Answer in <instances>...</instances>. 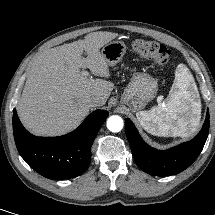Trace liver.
Masks as SVG:
<instances>
[{
    "label": "liver",
    "instance_id": "6515ba94",
    "mask_svg": "<svg viewBox=\"0 0 215 215\" xmlns=\"http://www.w3.org/2000/svg\"><path fill=\"white\" fill-rule=\"evenodd\" d=\"M118 36L112 32L89 33L82 40L45 50L30 63L18 114L23 125L38 136L62 135L89 113L87 99L98 97L104 105L113 90L109 65L100 48ZM87 57L83 58V52ZM89 68L95 80L82 75Z\"/></svg>",
    "mask_w": 215,
    "mask_h": 215
}]
</instances>
